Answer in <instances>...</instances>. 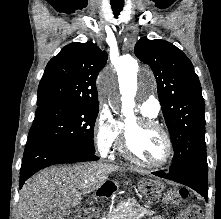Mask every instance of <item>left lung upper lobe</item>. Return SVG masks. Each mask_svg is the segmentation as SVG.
Wrapping results in <instances>:
<instances>
[{
    "label": "left lung upper lobe",
    "mask_w": 221,
    "mask_h": 219,
    "mask_svg": "<svg viewBox=\"0 0 221 219\" xmlns=\"http://www.w3.org/2000/svg\"><path fill=\"white\" fill-rule=\"evenodd\" d=\"M134 53L151 67L157 81L158 97L174 149L169 171L206 160L204 99L191 61L172 43L146 37L137 42Z\"/></svg>",
    "instance_id": "left-lung-upper-lobe-1"
}]
</instances>
